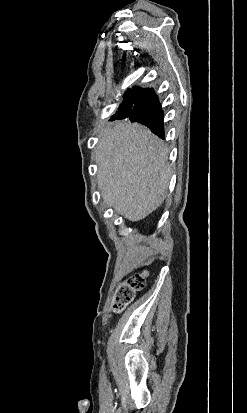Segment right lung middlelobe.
Here are the masks:
<instances>
[{
  "instance_id": "right-lung-middle-lobe-1",
  "label": "right lung middle lobe",
  "mask_w": 247,
  "mask_h": 413,
  "mask_svg": "<svg viewBox=\"0 0 247 413\" xmlns=\"http://www.w3.org/2000/svg\"><path fill=\"white\" fill-rule=\"evenodd\" d=\"M135 88L133 90H128V92H126L124 99H133L134 98V94H135Z\"/></svg>"
}]
</instances>
